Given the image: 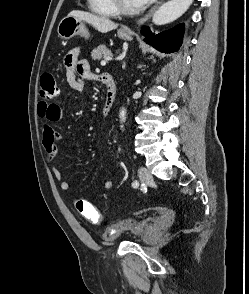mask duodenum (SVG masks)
Returning a JSON list of instances; mask_svg holds the SVG:
<instances>
[{"label":"duodenum","instance_id":"duodenum-1","mask_svg":"<svg viewBox=\"0 0 249 294\" xmlns=\"http://www.w3.org/2000/svg\"><path fill=\"white\" fill-rule=\"evenodd\" d=\"M98 81L105 86V99L101 114L104 118H106L114 106L117 95V87L113 77L107 73L100 74L98 76Z\"/></svg>","mask_w":249,"mask_h":294}]
</instances>
